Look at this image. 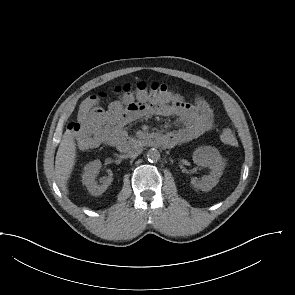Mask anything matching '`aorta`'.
Masks as SVG:
<instances>
[{
  "mask_svg": "<svg viewBox=\"0 0 295 295\" xmlns=\"http://www.w3.org/2000/svg\"><path fill=\"white\" fill-rule=\"evenodd\" d=\"M147 158L150 162H157L160 159V152L157 149H150L147 152Z\"/></svg>",
  "mask_w": 295,
  "mask_h": 295,
  "instance_id": "aorta-1",
  "label": "aorta"
}]
</instances>
